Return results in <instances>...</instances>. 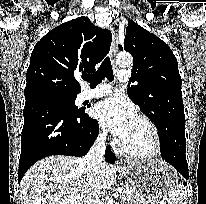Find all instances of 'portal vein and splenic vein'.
Wrapping results in <instances>:
<instances>
[{"mask_svg":"<svg viewBox=\"0 0 206 204\" xmlns=\"http://www.w3.org/2000/svg\"><path fill=\"white\" fill-rule=\"evenodd\" d=\"M125 194L128 196L131 194V191L129 189H126ZM156 202L153 201V203L151 202V204H155Z\"/></svg>","mask_w":206,"mask_h":204,"instance_id":"18ae733b","label":"portal vein and splenic vein"}]
</instances>
